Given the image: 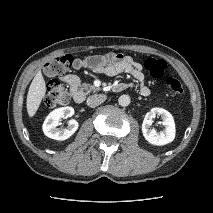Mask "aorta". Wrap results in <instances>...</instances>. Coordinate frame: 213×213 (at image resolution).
Returning <instances> with one entry per match:
<instances>
[{
	"instance_id": "1",
	"label": "aorta",
	"mask_w": 213,
	"mask_h": 213,
	"mask_svg": "<svg viewBox=\"0 0 213 213\" xmlns=\"http://www.w3.org/2000/svg\"><path fill=\"white\" fill-rule=\"evenodd\" d=\"M130 97L128 95H121L118 99V103L120 106L126 107L130 104Z\"/></svg>"
}]
</instances>
